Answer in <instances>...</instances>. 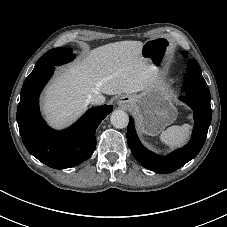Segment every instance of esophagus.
I'll list each match as a JSON object with an SVG mask.
<instances>
[{
    "instance_id": "34e87169",
    "label": "esophagus",
    "mask_w": 227,
    "mask_h": 227,
    "mask_svg": "<svg viewBox=\"0 0 227 227\" xmlns=\"http://www.w3.org/2000/svg\"><path fill=\"white\" fill-rule=\"evenodd\" d=\"M129 97H127V96H121V97H119L118 99H117V104L119 105V106H126L127 104H128V102H129Z\"/></svg>"
}]
</instances>
